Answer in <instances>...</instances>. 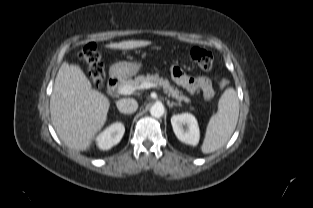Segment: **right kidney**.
<instances>
[{
	"mask_svg": "<svg viewBox=\"0 0 313 208\" xmlns=\"http://www.w3.org/2000/svg\"><path fill=\"white\" fill-rule=\"evenodd\" d=\"M124 132L125 127L122 123H113L98 135L97 146L101 150L111 149L121 141Z\"/></svg>",
	"mask_w": 313,
	"mask_h": 208,
	"instance_id": "ca27d5eb",
	"label": "right kidney"
}]
</instances>
